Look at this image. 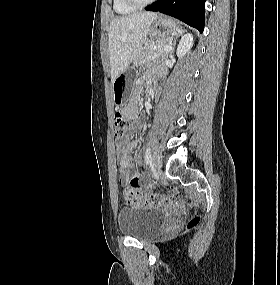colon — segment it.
Returning a JSON list of instances; mask_svg holds the SVG:
<instances>
[{
    "instance_id": "5ec220e1",
    "label": "colon",
    "mask_w": 280,
    "mask_h": 285,
    "mask_svg": "<svg viewBox=\"0 0 280 285\" xmlns=\"http://www.w3.org/2000/svg\"><path fill=\"white\" fill-rule=\"evenodd\" d=\"M132 120L121 112H116L113 118V133L116 139H121L127 130L131 127ZM124 198L128 204H154L158 206L168 207L176 204L179 200V193L171 190L167 194H149L139 193L132 189L124 191ZM201 221L198 216L192 217L188 222L189 228L196 227Z\"/></svg>"
}]
</instances>
